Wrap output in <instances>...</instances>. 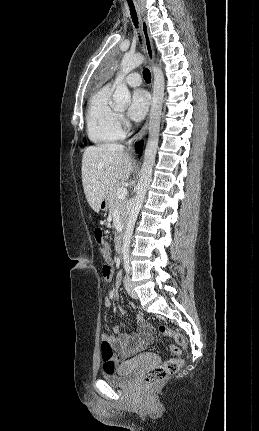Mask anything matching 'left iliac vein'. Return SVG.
<instances>
[{
  "mask_svg": "<svg viewBox=\"0 0 259 431\" xmlns=\"http://www.w3.org/2000/svg\"><path fill=\"white\" fill-rule=\"evenodd\" d=\"M124 286H125V288H126V290H127L128 294H129L132 298H134V299H137V298H138V294H137V292L134 290V287H133V285H132V282H131V279H130L129 275L125 276V278H124Z\"/></svg>",
  "mask_w": 259,
  "mask_h": 431,
  "instance_id": "obj_1",
  "label": "left iliac vein"
}]
</instances>
